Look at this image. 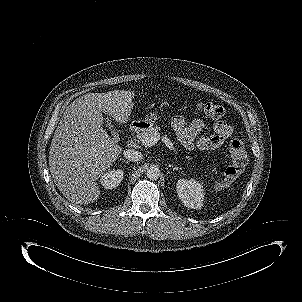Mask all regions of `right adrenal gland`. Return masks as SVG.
Segmentation results:
<instances>
[{"label": "right adrenal gland", "instance_id": "right-adrenal-gland-1", "mask_svg": "<svg viewBox=\"0 0 302 302\" xmlns=\"http://www.w3.org/2000/svg\"><path fill=\"white\" fill-rule=\"evenodd\" d=\"M120 160H122L124 163H128V161H126V160H124V159H120Z\"/></svg>", "mask_w": 302, "mask_h": 302}]
</instances>
